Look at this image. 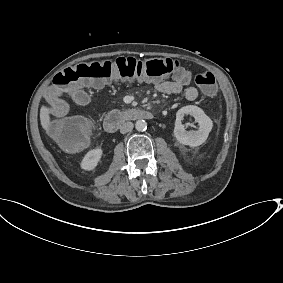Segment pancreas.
I'll return each instance as SVG.
<instances>
[{
  "mask_svg": "<svg viewBox=\"0 0 283 283\" xmlns=\"http://www.w3.org/2000/svg\"><path fill=\"white\" fill-rule=\"evenodd\" d=\"M134 109H127L120 112L124 120H130L133 115Z\"/></svg>",
  "mask_w": 283,
  "mask_h": 283,
  "instance_id": "1",
  "label": "pancreas"
}]
</instances>
